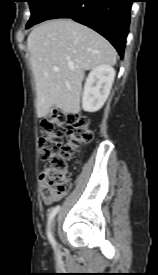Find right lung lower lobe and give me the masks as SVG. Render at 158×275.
Returning a JSON list of instances; mask_svg holds the SVG:
<instances>
[{
  "label": "right lung lower lobe",
  "mask_w": 158,
  "mask_h": 275,
  "mask_svg": "<svg viewBox=\"0 0 158 275\" xmlns=\"http://www.w3.org/2000/svg\"><path fill=\"white\" fill-rule=\"evenodd\" d=\"M132 0H56L38 23L71 18L109 40L122 57L130 23Z\"/></svg>",
  "instance_id": "obj_1"
}]
</instances>
